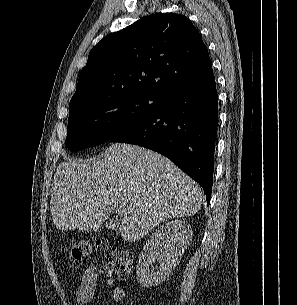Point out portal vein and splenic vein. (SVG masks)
I'll return each mask as SVG.
<instances>
[{"mask_svg":"<svg viewBox=\"0 0 297 305\" xmlns=\"http://www.w3.org/2000/svg\"><path fill=\"white\" fill-rule=\"evenodd\" d=\"M116 212L119 216H123L125 214V210L122 206H117L116 207Z\"/></svg>","mask_w":297,"mask_h":305,"instance_id":"18ae733b","label":"portal vein and splenic vein"}]
</instances>
